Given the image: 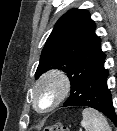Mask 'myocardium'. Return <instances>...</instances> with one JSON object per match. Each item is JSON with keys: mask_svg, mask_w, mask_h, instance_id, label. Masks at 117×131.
<instances>
[{"mask_svg": "<svg viewBox=\"0 0 117 131\" xmlns=\"http://www.w3.org/2000/svg\"><path fill=\"white\" fill-rule=\"evenodd\" d=\"M52 85L56 93L53 102L46 108L38 106L37 95L44 87ZM71 89L70 80L65 73L60 70H51L41 75L34 83L31 90V101L34 109L40 113H47L58 107L68 96Z\"/></svg>", "mask_w": 117, "mask_h": 131, "instance_id": "obj_1", "label": "myocardium"}]
</instances>
